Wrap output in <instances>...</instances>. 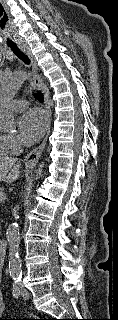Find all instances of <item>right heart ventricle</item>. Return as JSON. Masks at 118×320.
<instances>
[{"instance_id": "obj_1", "label": "right heart ventricle", "mask_w": 118, "mask_h": 320, "mask_svg": "<svg viewBox=\"0 0 118 320\" xmlns=\"http://www.w3.org/2000/svg\"><path fill=\"white\" fill-rule=\"evenodd\" d=\"M7 153H8V151L5 148V146L3 145L2 138L0 135V155L7 154Z\"/></svg>"}]
</instances>
